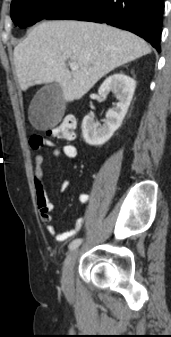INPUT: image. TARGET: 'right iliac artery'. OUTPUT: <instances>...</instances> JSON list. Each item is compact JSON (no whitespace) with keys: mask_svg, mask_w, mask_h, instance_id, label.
Here are the masks:
<instances>
[{"mask_svg":"<svg viewBox=\"0 0 171 337\" xmlns=\"http://www.w3.org/2000/svg\"><path fill=\"white\" fill-rule=\"evenodd\" d=\"M81 243H82L81 238L75 239L70 243L69 249L72 251V250L76 249Z\"/></svg>","mask_w":171,"mask_h":337,"instance_id":"right-iliac-artery-1","label":"right iliac artery"}]
</instances>
